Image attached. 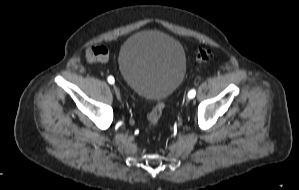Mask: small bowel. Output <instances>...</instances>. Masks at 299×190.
Here are the masks:
<instances>
[{"instance_id":"small-bowel-1","label":"small bowel","mask_w":299,"mask_h":190,"mask_svg":"<svg viewBox=\"0 0 299 190\" xmlns=\"http://www.w3.org/2000/svg\"><path fill=\"white\" fill-rule=\"evenodd\" d=\"M86 56L91 61L107 62L109 50L105 46L92 47L87 50Z\"/></svg>"}]
</instances>
